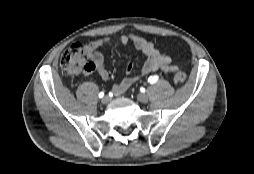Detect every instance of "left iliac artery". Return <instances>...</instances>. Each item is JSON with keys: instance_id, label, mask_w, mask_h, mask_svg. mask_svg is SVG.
<instances>
[{"instance_id": "obj_1", "label": "left iliac artery", "mask_w": 254, "mask_h": 174, "mask_svg": "<svg viewBox=\"0 0 254 174\" xmlns=\"http://www.w3.org/2000/svg\"><path fill=\"white\" fill-rule=\"evenodd\" d=\"M157 81H158V76H156V75L150 76V77L148 78V82H149L150 84H154V83H156Z\"/></svg>"}]
</instances>
